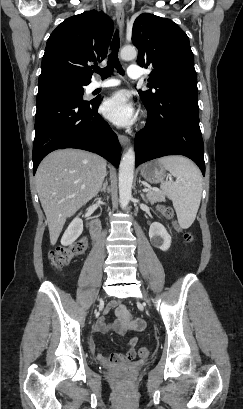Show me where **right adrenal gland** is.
<instances>
[{
	"instance_id": "2a0ac1e0",
	"label": "right adrenal gland",
	"mask_w": 243,
	"mask_h": 409,
	"mask_svg": "<svg viewBox=\"0 0 243 409\" xmlns=\"http://www.w3.org/2000/svg\"><path fill=\"white\" fill-rule=\"evenodd\" d=\"M109 189L110 188L108 187V180L106 179L104 184H103V187L100 189V192L105 193L106 190H107V192H109Z\"/></svg>"
}]
</instances>
